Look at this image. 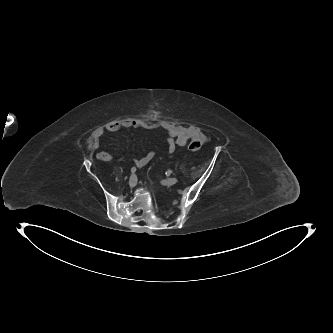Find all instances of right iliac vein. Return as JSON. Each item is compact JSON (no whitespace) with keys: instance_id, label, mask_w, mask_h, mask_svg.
Listing matches in <instances>:
<instances>
[{"instance_id":"63e3f726","label":"right iliac vein","mask_w":333,"mask_h":333,"mask_svg":"<svg viewBox=\"0 0 333 333\" xmlns=\"http://www.w3.org/2000/svg\"><path fill=\"white\" fill-rule=\"evenodd\" d=\"M137 185V177L135 174H132L129 178V186L134 188Z\"/></svg>"}]
</instances>
